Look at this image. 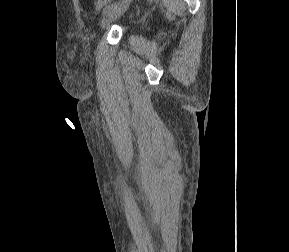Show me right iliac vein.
Masks as SVG:
<instances>
[{"label":"right iliac vein","mask_w":289,"mask_h":252,"mask_svg":"<svg viewBox=\"0 0 289 252\" xmlns=\"http://www.w3.org/2000/svg\"><path fill=\"white\" fill-rule=\"evenodd\" d=\"M132 1L133 0H122L117 7L106 13L101 21V28L105 29L111 22L121 17L127 11Z\"/></svg>","instance_id":"right-iliac-vein-1"}]
</instances>
